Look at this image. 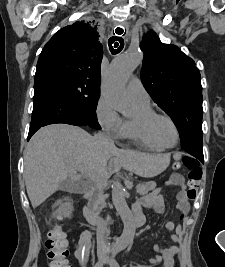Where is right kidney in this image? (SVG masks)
Here are the masks:
<instances>
[{"instance_id":"ca27d5eb","label":"right kidney","mask_w":225,"mask_h":267,"mask_svg":"<svg viewBox=\"0 0 225 267\" xmlns=\"http://www.w3.org/2000/svg\"><path fill=\"white\" fill-rule=\"evenodd\" d=\"M65 202L58 201L56 205H58L57 219H62L63 217L70 218L73 211V206L69 198H64Z\"/></svg>"}]
</instances>
